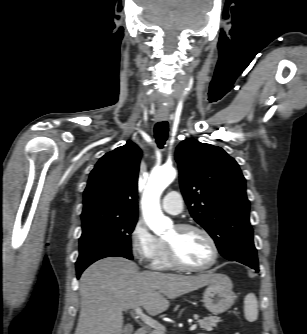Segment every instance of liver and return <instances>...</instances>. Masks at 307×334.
I'll list each match as a JSON object with an SVG mask.
<instances>
[{
	"label": "liver",
	"instance_id": "6515ba94",
	"mask_svg": "<svg viewBox=\"0 0 307 334\" xmlns=\"http://www.w3.org/2000/svg\"><path fill=\"white\" fill-rule=\"evenodd\" d=\"M214 281L212 271L196 276L140 272L128 259L104 258L81 275V309L75 334H122L123 311L142 307L156 316L169 308V299Z\"/></svg>",
	"mask_w": 307,
	"mask_h": 334
}]
</instances>
